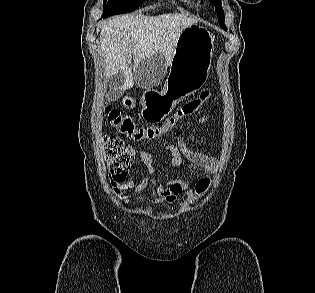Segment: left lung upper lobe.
<instances>
[{"instance_id": "5c2ea615", "label": "left lung upper lobe", "mask_w": 315, "mask_h": 293, "mask_svg": "<svg viewBox=\"0 0 315 293\" xmlns=\"http://www.w3.org/2000/svg\"><path fill=\"white\" fill-rule=\"evenodd\" d=\"M210 2L215 6V11L217 13V17L219 18V25L224 30H227L224 24V11L222 8V4L220 0H210Z\"/></svg>"}]
</instances>
